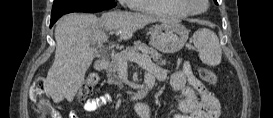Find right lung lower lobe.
<instances>
[{"label":"right lung lower lobe","instance_id":"right-lung-lower-lobe-1","mask_svg":"<svg viewBox=\"0 0 273 118\" xmlns=\"http://www.w3.org/2000/svg\"><path fill=\"white\" fill-rule=\"evenodd\" d=\"M72 12H99V11H88L80 8L70 7L67 5H60L58 7L52 8L50 27L64 14L72 13Z\"/></svg>","mask_w":273,"mask_h":118}]
</instances>
